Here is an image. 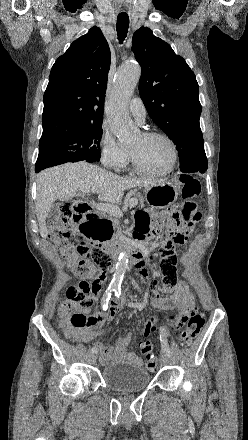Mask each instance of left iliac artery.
<instances>
[{"label":"left iliac artery","mask_w":248,"mask_h":440,"mask_svg":"<svg viewBox=\"0 0 248 440\" xmlns=\"http://www.w3.org/2000/svg\"><path fill=\"white\" fill-rule=\"evenodd\" d=\"M114 291H115V296L118 297L119 299V297L121 296V288H117ZM160 342L162 346V351L170 357L171 351L168 345V341L164 329H161L160 332Z\"/></svg>","instance_id":"obj_1"}]
</instances>
